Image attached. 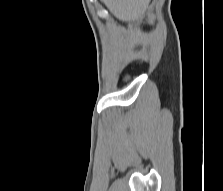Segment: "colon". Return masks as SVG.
Here are the masks:
<instances>
[{
    "mask_svg": "<svg viewBox=\"0 0 223 191\" xmlns=\"http://www.w3.org/2000/svg\"><path fill=\"white\" fill-rule=\"evenodd\" d=\"M123 80H124V82H129L130 78H129L128 75H125V76L123 77Z\"/></svg>",
    "mask_w": 223,
    "mask_h": 191,
    "instance_id": "5ec220e1",
    "label": "colon"
}]
</instances>
